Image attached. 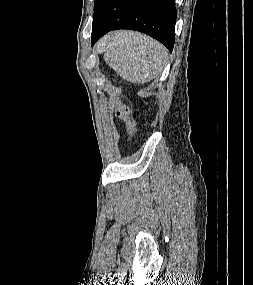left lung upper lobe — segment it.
Returning a JSON list of instances; mask_svg holds the SVG:
<instances>
[{
    "instance_id": "obj_1",
    "label": "left lung upper lobe",
    "mask_w": 253,
    "mask_h": 285,
    "mask_svg": "<svg viewBox=\"0 0 253 285\" xmlns=\"http://www.w3.org/2000/svg\"><path fill=\"white\" fill-rule=\"evenodd\" d=\"M107 0H95L93 22L96 20Z\"/></svg>"
}]
</instances>
